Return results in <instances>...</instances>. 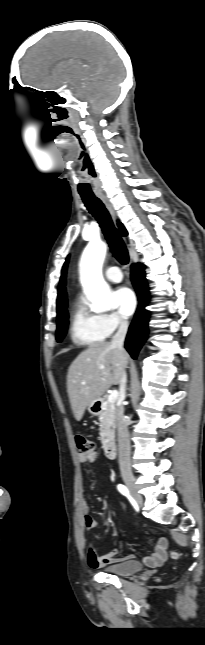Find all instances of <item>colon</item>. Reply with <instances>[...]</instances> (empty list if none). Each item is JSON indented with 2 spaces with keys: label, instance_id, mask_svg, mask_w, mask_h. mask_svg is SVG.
<instances>
[{
  "label": "colon",
  "instance_id": "colon-1",
  "mask_svg": "<svg viewBox=\"0 0 205 645\" xmlns=\"http://www.w3.org/2000/svg\"><path fill=\"white\" fill-rule=\"evenodd\" d=\"M75 443L78 449L80 456L88 460H94L97 457L96 447L92 440L83 436L77 435L75 437ZM173 558H177L178 554L175 551L171 552Z\"/></svg>",
  "mask_w": 205,
  "mask_h": 645
}]
</instances>
